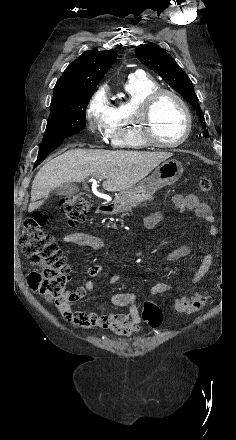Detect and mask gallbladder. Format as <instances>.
Masks as SVG:
<instances>
[{"label":"gallbladder","mask_w":236,"mask_h":440,"mask_svg":"<svg viewBox=\"0 0 236 440\" xmlns=\"http://www.w3.org/2000/svg\"><path fill=\"white\" fill-rule=\"evenodd\" d=\"M79 192L78 187L74 183H64L58 186L54 193L57 196H64V195H73Z\"/></svg>","instance_id":"obj_1"}]
</instances>
